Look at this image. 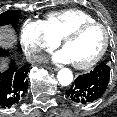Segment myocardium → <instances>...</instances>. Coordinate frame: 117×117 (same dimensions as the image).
I'll return each mask as SVG.
<instances>
[{
    "mask_svg": "<svg viewBox=\"0 0 117 117\" xmlns=\"http://www.w3.org/2000/svg\"><path fill=\"white\" fill-rule=\"evenodd\" d=\"M92 27H99L103 30L104 35H105L104 44L101 50L98 52V54L90 61L86 63H74L73 62L74 67L80 70H86L95 66L104 57V55L106 54L109 48L110 41H111V35L109 32V29L100 22H97V21L88 22V23L81 24L78 27L74 28L61 39V45L65 47L67 42L78 38L83 32H85L86 30Z\"/></svg>",
    "mask_w": 117,
    "mask_h": 117,
    "instance_id": "myocardium-1",
    "label": "myocardium"
}]
</instances>
